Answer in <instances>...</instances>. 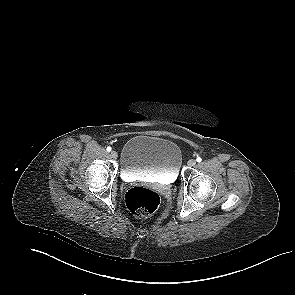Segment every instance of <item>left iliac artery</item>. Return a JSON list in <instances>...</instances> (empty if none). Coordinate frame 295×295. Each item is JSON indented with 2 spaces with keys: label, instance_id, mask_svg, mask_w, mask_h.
Wrapping results in <instances>:
<instances>
[{
  "label": "left iliac artery",
  "instance_id": "obj_1",
  "mask_svg": "<svg viewBox=\"0 0 295 295\" xmlns=\"http://www.w3.org/2000/svg\"><path fill=\"white\" fill-rule=\"evenodd\" d=\"M196 161L197 162H201L202 161V158L201 157H197Z\"/></svg>",
  "mask_w": 295,
  "mask_h": 295
}]
</instances>
